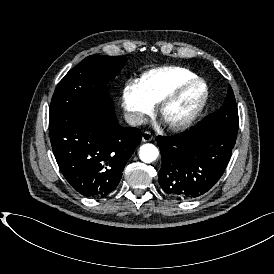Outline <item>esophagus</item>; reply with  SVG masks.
I'll use <instances>...</instances> for the list:
<instances>
[{"mask_svg": "<svg viewBox=\"0 0 274 274\" xmlns=\"http://www.w3.org/2000/svg\"><path fill=\"white\" fill-rule=\"evenodd\" d=\"M152 139H153V135H152L151 132H149V131H144V132L142 133V141H143V142H149V141H151Z\"/></svg>", "mask_w": 274, "mask_h": 274, "instance_id": "1", "label": "esophagus"}]
</instances>
